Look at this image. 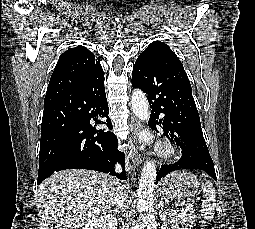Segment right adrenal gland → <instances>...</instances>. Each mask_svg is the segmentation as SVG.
Wrapping results in <instances>:
<instances>
[{"mask_svg": "<svg viewBox=\"0 0 255 229\" xmlns=\"http://www.w3.org/2000/svg\"><path fill=\"white\" fill-rule=\"evenodd\" d=\"M110 212H113L116 215V214H119L121 212V210L114 208Z\"/></svg>", "mask_w": 255, "mask_h": 229, "instance_id": "1", "label": "right adrenal gland"}]
</instances>
